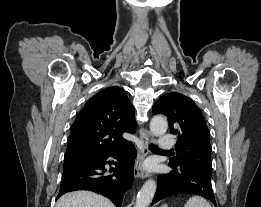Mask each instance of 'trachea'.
I'll list each match as a JSON object with an SVG mask.
<instances>
[{"label":"trachea","mask_w":261,"mask_h":207,"mask_svg":"<svg viewBox=\"0 0 261 207\" xmlns=\"http://www.w3.org/2000/svg\"><path fill=\"white\" fill-rule=\"evenodd\" d=\"M149 149H150V150L163 151V150H161L160 148H158V147H156V146H154V145H152V144H149Z\"/></svg>","instance_id":"obj_1"}]
</instances>
